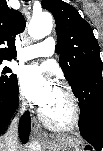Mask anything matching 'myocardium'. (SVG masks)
Masks as SVG:
<instances>
[{"mask_svg": "<svg viewBox=\"0 0 103 151\" xmlns=\"http://www.w3.org/2000/svg\"><path fill=\"white\" fill-rule=\"evenodd\" d=\"M59 89H61L67 96L69 100V105H70V118L67 122L65 123H57L51 120L47 114L45 113L44 110L40 111V118L42 122L50 129L57 130V131H67V130H72L74 129L79 121H80V106L78 99L72 90V88L65 84V83H60L58 86Z\"/></svg>", "mask_w": 103, "mask_h": 151, "instance_id": "f54148a6", "label": "myocardium"}]
</instances>
